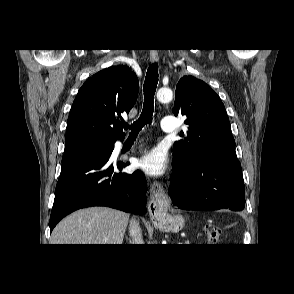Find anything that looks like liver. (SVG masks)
<instances>
[{"instance_id":"6515ba94","label":"liver","mask_w":294,"mask_h":294,"mask_svg":"<svg viewBox=\"0 0 294 294\" xmlns=\"http://www.w3.org/2000/svg\"><path fill=\"white\" fill-rule=\"evenodd\" d=\"M129 215L107 207H90L63 219L51 244H122Z\"/></svg>"}]
</instances>
